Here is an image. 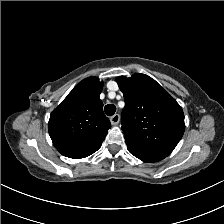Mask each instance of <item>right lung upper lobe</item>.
Instances as JSON below:
<instances>
[{"instance_id": "right-lung-upper-lobe-1", "label": "right lung upper lobe", "mask_w": 224, "mask_h": 224, "mask_svg": "<svg viewBox=\"0 0 224 224\" xmlns=\"http://www.w3.org/2000/svg\"><path fill=\"white\" fill-rule=\"evenodd\" d=\"M102 88L103 82L97 77L86 78L73 88L50 115L48 130L52 141H72L85 155L100 148L111 128L99 97Z\"/></svg>"}]
</instances>
